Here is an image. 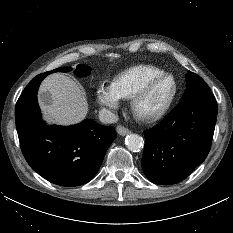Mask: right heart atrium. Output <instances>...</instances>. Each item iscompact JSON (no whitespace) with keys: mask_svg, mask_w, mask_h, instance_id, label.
<instances>
[{"mask_svg":"<svg viewBox=\"0 0 233 233\" xmlns=\"http://www.w3.org/2000/svg\"><path fill=\"white\" fill-rule=\"evenodd\" d=\"M96 97L99 104L110 112H114L120 107L121 97L116 92L113 84L100 83L96 90Z\"/></svg>","mask_w":233,"mask_h":233,"instance_id":"1","label":"right heart atrium"}]
</instances>
